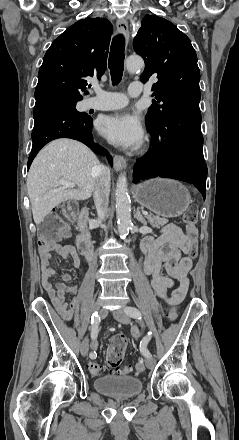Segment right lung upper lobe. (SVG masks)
I'll return each instance as SVG.
<instances>
[{
  "instance_id": "right-lung-upper-lobe-1",
  "label": "right lung upper lobe",
  "mask_w": 239,
  "mask_h": 440,
  "mask_svg": "<svg viewBox=\"0 0 239 440\" xmlns=\"http://www.w3.org/2000/svg\"><path fill=\"white\" fill-rule=\"evenodd\" d=\"M113 27L105 18L77 21L56 38L47 50L38 73L36 101L54 97L82 98L86 77L101 78Z\"/></svg>"
}]
</instances>
